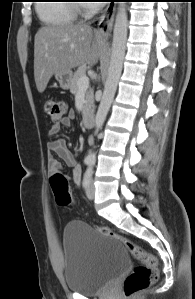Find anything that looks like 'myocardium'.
I'll use <instances>...</instances> for the list:
<instances>
[{
  "mask_svg": "<svg viewBox=\"0 0 195 299\" xmlns=\"http://www.w3.org/2000/svg\"><path fill=\"white\" fill-rule=\"evenodd\" d=\"M74 9L76 13H79L81 15H85L89 11V7L85 4H76Z\"/></svg>",
  "mask_w": 195,
  "mask_h": 299,
  "instance_id": "f54148a6",
  "label": "myocardium"
}]
</instances>
